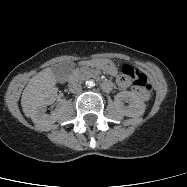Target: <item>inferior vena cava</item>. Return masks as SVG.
I'll return each mask as SVG.
<instances>
[{
  "instance_id": "1",
  "label": "inferior vena cava",
  "mask_w": 187,
  "mask_h": 187,
  "mask_svg": "<svg viewBox=\"0 0 187 187\" xmlns=\"http://www.w3.org/2000/svg\"><path fill=\"white\" fill-rule=\"evenodd\" d=\"M69 90L71 93H80L82 91V86L78 82H72L69 84Z\"/></svg>"
}]
</instances>
